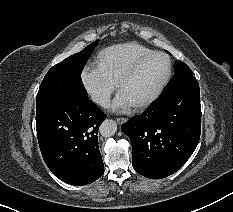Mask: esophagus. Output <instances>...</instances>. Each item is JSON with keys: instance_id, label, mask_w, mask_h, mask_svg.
I'll use <instances>...</instances> for the list:
<instances>
[{"instance_id": "1", "label": "esophagus", "mask_w": 233, "mask_h": 212, "mask_svg": "<svg viewBox=\"0 0 233 212\" xmlns=\"http://www.w3.org/2000/svg\"><path fill=\"white\" fill-rule=\"evenodd\" d=\"M116 120L119 124H123V123L127 122V118H124V117H119Z\"/></svg>"}]
</instances>
